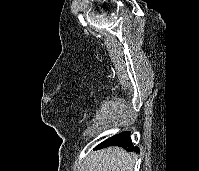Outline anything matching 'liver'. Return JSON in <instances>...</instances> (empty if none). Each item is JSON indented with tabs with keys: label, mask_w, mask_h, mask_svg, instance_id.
<instances>
[{
	"label": "liver",
	"mask_w": 199,
	"mask_h": 171,
	"mask_svg": "<svg viewBox=\"0 0 199 171\" xmlns=\"http://www.w3.org/2000/svg\"><path fill=\"white\" fill-rule=\"evenodd\" d=\"M135 155L119 147H109L91 153L87 157L83 171H132Z\"/></svg>",
	"instance_id": "1"
}]
</instances>
